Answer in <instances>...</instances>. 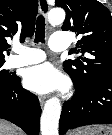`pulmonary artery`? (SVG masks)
<instances>
[{
  "mask_svg": "<svg viewBox=\"0 0 112 135\" xmlns=\"http://www.w3.org/2000/svg\"><path fill=\"white\" fill-rule=\"evenodd\" d=\"M68 47V40L65 34L54 33L49 40V48L52 51H63ZM15 55L10 64L12 67L26 66L30 64H35L43 61L45 59V53L40 49L29 48L26 46H16Z\"/></svg>",
  "mask_w": 112,
  "mask_h": 135,
  "instance_id": "obj_1",
  "label": "pulmonary artery"
}]
</instances>
